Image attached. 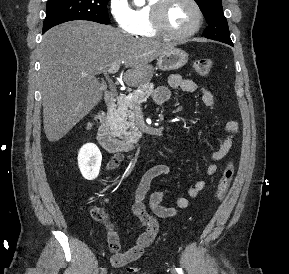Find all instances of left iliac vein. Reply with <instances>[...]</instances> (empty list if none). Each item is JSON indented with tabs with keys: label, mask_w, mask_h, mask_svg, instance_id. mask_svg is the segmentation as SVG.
Returning <instances> with one entry per match:
<instances>
[{
	"label": "left iliac vein",
	"mask_w": 289,
	"mask_h": 274,
	"mask_svg": "<svg viewBox=\"0 0 289 274\" xmlns=\"http://www.w3.org/2000/svg\"><path fill=\"white\" fill-rule=\"evenodd\" d=\"M171 273H172V274H176V271H175V270H172Z\"/></svg>",
	"instance_id": "1"
}]
</instances>
